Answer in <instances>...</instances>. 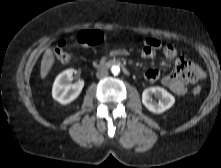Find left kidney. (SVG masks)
Instances as JSON below:
<instances>
[{
	"label": "left kidney",
	"instance_id": "1",
	"mask_svg": "<svg viewBox=\"0 0 221 168\" xmlns=\"http://www.w3.org/2000/svg\"><path fill=\"white\" fill-rule=\"evenodd\" d=\"M152 95L159 98L158 102L153 101ZM175 102V98L164 88L156 86L145 89L142 93V103L151 112L159 114L168 110Z\"/></svg>",
	"mask_w": 221,
	"mask_h": 168
}]
</instances>
